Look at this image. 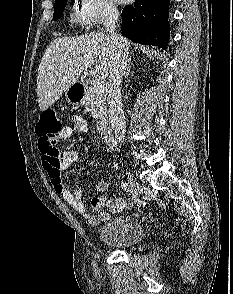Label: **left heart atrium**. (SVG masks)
Returning <instances> with one entry per match:
<instances>
[{"label": "left heart atrium", "mask_w": 233, "mask_h": 294, "mask_svg": "<svg viewBox=\"0 0 233 294\" xmlns=\"http://www.w3.org/2000/svg\"><path fill=\"white\" fill-rule=\"evenodd\" d=\"M117 1L120 2V3H125V2H127L129 0H117Z\"/></svg>", "instance_id": "left-heart-atrium-1"}]
</instances>
